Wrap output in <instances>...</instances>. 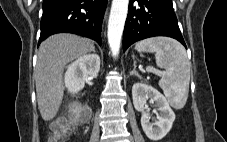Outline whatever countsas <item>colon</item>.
<instances>
[{
    "label": "colon",
    "instance_id": "5ec220e1",
    "mask_svg": "<svg viewBox=\"0 0 227 142\" xmlns=\"http://www.w3.org/2000/svg\"><path fill=\"white\" fill-rule=\"evenodd\" d=\"M85 116L81 112H74L69 118H59L52 122L49 142H61L68 138L75 125L83 123Z\"/></svg>",
    "mask_w": 227,
    "mask_h": 142
}]
</instances>
